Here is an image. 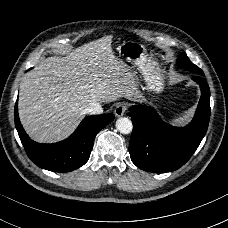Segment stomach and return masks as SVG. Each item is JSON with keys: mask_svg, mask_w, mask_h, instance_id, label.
Here are the masks:
<instances>
[{"mask_svg": "<svg viewBox=\"0 0 228 228\" xmlns=\"http://www.w3.org/2000/svg\"><path fill=\"white\" fill-rule=\"evenodd\" d=\"M117 51L119 57L141 73L149 90L157 94L164 90V75L155 68L144 45L134 41H125L117 47Z\"/></svg>", "mask_w": 228, "mask_h": 228, "instance_id": "stomach-1", "label": "stomach"}]
</instances>
